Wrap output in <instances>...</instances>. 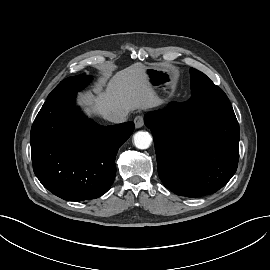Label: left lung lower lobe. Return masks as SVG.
Instances as JSON below:
<instances>
[{"label": "left lung lower lobe", "mask_w": 270, "mask_h": 270, "mask_svg": "<svg viewBox=\"0 0 270 270\" xmlns=\"http://www.w3.org/2000/svg\"><path fill=\"white\" fill-rule=\"evenodd\" d=\"M144 121L153 133L159 177L175 194H212L236 172L240 132L232 107L205 110L191 90L188 101L171 102Z\"/></svg>", "instance_id": "obj_1"}]
</instances>
